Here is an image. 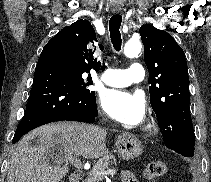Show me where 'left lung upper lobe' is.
<instances>
[{"mask_svg":"<svg viewBox=\"0 0 211 182\" xmlns=\"http://www.w3.org/2000/svg\"><path fill=\"white\" fill-rule=\"evenodd\" d=\"M144 60L149 71L150 103L166 147L183 156L194 155L189 77L184 51L166 31L150 24L140 27Z\"/></svg>","mask_w":211,"mask_h":182,"instance_id":"left-lung-upper-lobe-1","label":"left lung upper lobe"}]
</instances>
